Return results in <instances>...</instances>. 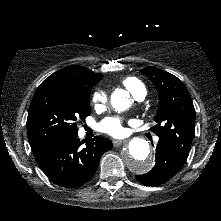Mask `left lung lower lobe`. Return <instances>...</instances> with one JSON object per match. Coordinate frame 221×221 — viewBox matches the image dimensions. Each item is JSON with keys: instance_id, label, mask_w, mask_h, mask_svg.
Instances as JSON below:
<instances>
[{"instance_id": "obj_1", "label": "left lung lower lobe", "mask_w": 221, "mask_h": 221, "mask_svg": "<svg viewBox=\"0 0 221 221\" xmlns=\"http://www.w3.org/2000/svg\"><path fill=\"white\" fill-rule=\"evenodd\" d=\"M185 161L168 145L159 141L156 147L153 169L147 174L137 175L136 179L148 186L162 184L171 179L184 165Z\"/></svg>"}]
</instances>
